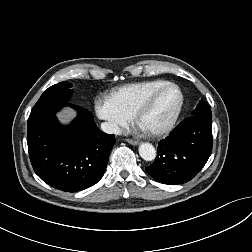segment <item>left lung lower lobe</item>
<instances>
[{"label": "left lung lower lobe", "instance_id": "0a47b994", "mask_svg": "<svg viewBox=\"0 0 252 252\" xmlns=\"http://www.w3.org/2000/svg\"><path fill=\"white\" fill-rule=\"evenodd\" d=\"M211 151L212 116H191L159 142L157 157L146 171L158 182L182 184L197 175Z\"/></svg>", "mask_w": 252, "mask_h": 252}]
</instances>
